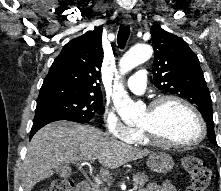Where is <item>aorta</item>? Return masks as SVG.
<instances>
[{
    "label": "aorta",
    "mask_w": 221,
    "mask_h": 191,
    "mask_svg": "<svg viewBox=\"0 0 221 191\" xmlns=\"http://www.w3.org/2000/svg\"><path fill=\"white\" fill-rule=\"evenodd\" d=\"M153 55V49L149 44H137L129 49L121 58L120 73L125 74L136 66L146 62ZM113 103L122 120L131 124L136 122L143 107L135 103L127 94L121 84H116L113 94Z\"/></svg>",
    "instance_id": "1"
}]
</instances>
